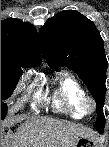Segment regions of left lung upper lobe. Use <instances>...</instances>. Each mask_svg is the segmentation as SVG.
Masks as SVG:
<instances>
[{"instance_id": "obj_1", "label": "left lung upper lobe", "mask_w": 109, "mask_h": 147, "mask_svg": "<svg viewBox=\"0 0 109 147\" xmlns=\"http://www.w3.org/2000/svg\"><path fill=\"white\" fill-rule=\"evenodd\" d=\"M41 48L50 67H70L85 82L96 100L95 128H104L103 104L108 62L104 42L94 23L75 10L47 20L40 32Z\"/></svg>"}]
</instances>
